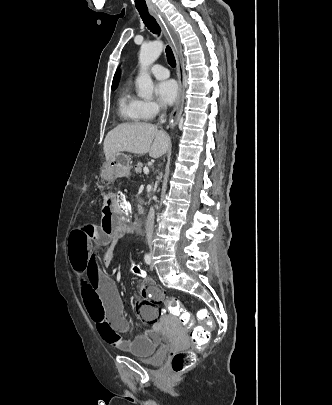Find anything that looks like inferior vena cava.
Returning a JSON list of instances; mask_svg holds the SVG:
<instances>
[{
    "label": "inferior vena cava",
    "mask_w": 332,
    "mask_h": 405,
    "mask_svg": "<svg viewBox=\"0 0 332 405\" xmlns=\"http://www.w3.org/2000/svg\"><path fill=\"white\" fill-rule=\"evenodd\" d=\"M165 115H161L160 116V123H164L165 122ZM154 216H155V211L153 208H150L149 213H148V228L149 231L152 230L153 224H154Z\"/></svg>",
    "instance_id": "602c4592"
}]
</instances>
